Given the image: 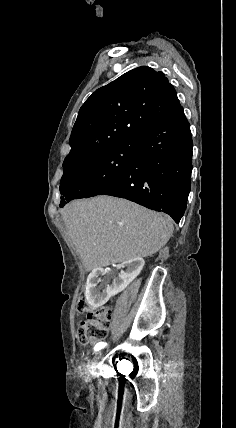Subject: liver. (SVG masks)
<instances>
[{"instance_id":"6515ba94","label":"liver","mask_w":236,"mask_h":428,"mask_svg":"<svg viewBox=\"0 0 236 428\" xmlns=\"http://www.w3.org/2000/svg\"><path fill=\"white\" fill-rule=\"evenodd\" d=\"M63 220L86 272L153 256L173 234L169 216L112 196L73 200Z\"/></svg>"}]
</instances>
